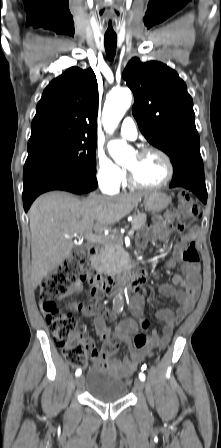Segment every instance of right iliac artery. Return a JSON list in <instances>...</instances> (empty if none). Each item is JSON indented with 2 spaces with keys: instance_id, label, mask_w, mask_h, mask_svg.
Segmentation results:
<instances>
[{
  "instance_id": "1",
  "label": "right iliac artery",
  "mask_w": 221,
  "mask_h": 448,
  "mask_svg": "<svg viewBox=\"0 0 221 448\" xmlns=\"http://www.w3.org/2000/svg\"><path fill=\"white\" fill-rule=\"evenodd\" d=\"M81 373H82L81 370H80V369H77L76 372H75V375H76V376H80Z\"/></svg>"
}]
</instances>
